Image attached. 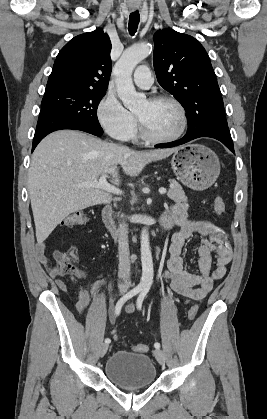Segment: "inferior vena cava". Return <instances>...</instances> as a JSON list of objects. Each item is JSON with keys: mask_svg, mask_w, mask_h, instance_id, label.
<instances>
[{"mask_svg": "<svg viewBox=\"0 0 267 419\" xmlns=\"http://www.w3.org/2000/svg\"><path fill=\"white\" fill-rule=\"evenodd\" d=\"M118 236V257H119V265H118V276L120 279L123 280V283L119 284V288L121 290H127L130 285V252H129V244H128V225L123 222L119 224L117 230Z\"/></svg>", "mask_w": 267, "mask_h": 419, "instance_id": "1", "label": "inferior vena cava"}]
</instances>
